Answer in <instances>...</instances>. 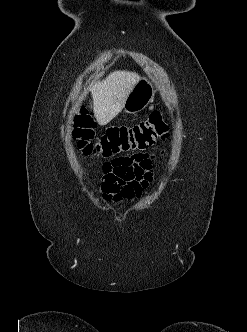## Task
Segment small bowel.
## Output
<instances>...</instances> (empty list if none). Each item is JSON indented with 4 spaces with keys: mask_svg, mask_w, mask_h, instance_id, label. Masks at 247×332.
Listing matches in <instances>:
<instances>
[{
    "mask_svg": "<svg viewBox=\"0 0 247 332\" xmlns=\"http://www.w3.org/2000/svg\"><path fill=\"white\" fill-rule=\"evenodd\" d=\"M154 153H136L105 162L102 166L103 198L116 203L138 198L153 179Z\"/></svg>",
    "mask_w": 247,
    "mask_h": 332,
    "instance_id": "c3829d8e",
    "label": "small bowel"
}]
</instances>
